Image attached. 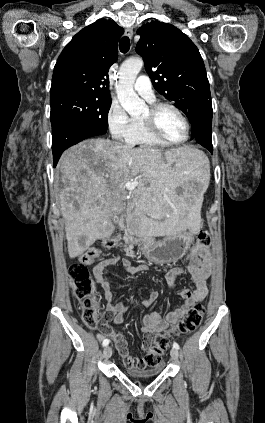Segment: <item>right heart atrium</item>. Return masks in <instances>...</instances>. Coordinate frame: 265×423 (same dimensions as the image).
<instances>
[{
    "label": "right heart atrium",
    "instance_id": "1",
    "mask_svg": "<svg viewBox=\"0 0 265 423\" xmlns=\"http://www.w3.org/2000/svg\"><path fill=\"white\" fill-rule=\"evenodd\" d=\"M106 122L115 140H127L132 126V119L118 102L113 101L110 104L106 114Z\"/></svg>",
    "mask_w": 265,
    "mask_h": 423
}]
</instances>
